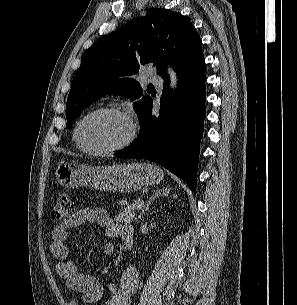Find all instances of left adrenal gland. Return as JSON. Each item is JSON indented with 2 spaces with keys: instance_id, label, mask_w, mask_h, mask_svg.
Returning a JSON list of instances; mask_svg holds the SVG:
<instances>
[{
  "instance_id": "a2214340",
  "label": "left adrenal gland",
  "mask_w": 297,
  "mask_h": 305,
  "mask_svg": "<svg viewBox=\"0 0 297 305\" xmlns=\"http://www.w3.org/2000/svg\"><path fill=\"white\" fill-rule=\"evenodd\" d=\"M169 193V189L168 188H161V189H156L153 191L152 195L149 197L148 201L146 202V205L144 206L141 214L138 217V222H140V219L142 218V216L145 214V212H147L149 210V206L151 205V203L158 198L159 196H165L168 195Z\"/></svg>"
}]
</instances>
